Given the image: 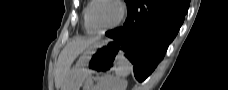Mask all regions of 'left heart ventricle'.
Returning a JSON list of instances; mask_svg holds the SVG:
<instances>
[{
    "mask_svg": "<svg viewBox=\"0 0 228 90\" xmlns=\"http://www.w3.org/2000/svg\"><path fill=\"white\" fill-rule=\"evenodd\" d=\"M118 14V7L114 3L106 0L98 1L92 9V23L95 28L103 29L111 25L117 19Z\"/></svg>",
    "mask_w": 228,
    "mask_h": 90,
    "instance_id": "b2bd125f",
    "label": "left heart ventricle"
}]
</instances>
